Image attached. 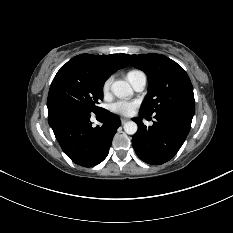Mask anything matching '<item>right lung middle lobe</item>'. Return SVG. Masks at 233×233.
<instances>
[{"mask_svg": "<svg viewBox=\"0 0 233 233\" xmlns=\"http://www.w3.org/2000/svg\"><path fill=\"white\" fill-rule=\"evenodd\" d=\"M104 82L83 71L59 70L49 89L47 107L70 106L98 113L103 110L98 104Z\"/></svg>", "mask_w": 233, "mask_h": 233, "instance_id": "1", "label": "right lung middle lobe"}]
</instances>
